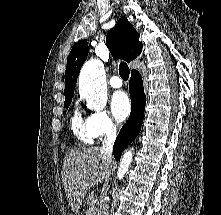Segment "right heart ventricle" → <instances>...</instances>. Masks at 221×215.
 Returning a JSON list of instances; mask_svg holds the SVG:
<instances>
[{"mask_svg":"<svg viewBox=\"0 0 221 215\" xmlns=\"http://www.w3.org/2000/svg\"><path fill=\"white\" fill-rule=\"evenodd\" d=\"M71 127L75 136L84 143H92L93 137L87 129L86 122L83 121L78 111H75L71 119Z\"/></svg>","mask_w":221,"mask_h":215,"instance_id":"obj_1","label":"right heart ventricle"}]
</instances>
